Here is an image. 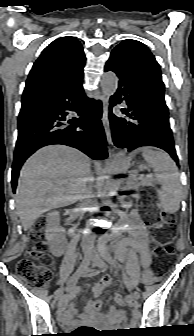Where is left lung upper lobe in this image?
<instances>
[{"label":"left lung upper lobe","mask_w":194,"mask_h":336,"mask_svg":"<svg viewBox=\"0 0 194 336\" xmlns=\"http://www.w3.org/2000/svg\"><path fill=\"white\" fill-rule=\"evenodd\" d=\"M112 52L123 57L128 66L148 87L164 98L165 87L159 64L143 43L131 39L124 40Z\"/></svg>","instance_id":"5c2ea615"}]
</instances>
